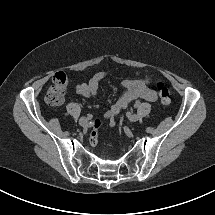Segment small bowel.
Instances as JSON below:
<instances>
[{"instance_id": "obj_1", "label": "small bowel", "mask_w": 215, "mask_h": 215, "mask_svg": "<svg viewBox=\"0 0 215 215\" xmlns=\"http://www.w3.org/2000/svg\"><path fill=\"white\" fill-rule=\"evenodd\" d=\"M106 76L107 74L104 71L95 73L87 82L77 84L75 92L87 98L98 96L99 84ZM122 86L125 89L124 93L105 115L107 118L111 119V126L115 125L113 118L133 100L144 99L146 101L154 102L157 99L156 92L150 89L147 82L143 79H126L123 80Z\"/></svg>"}]
</instances>
